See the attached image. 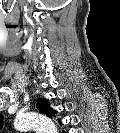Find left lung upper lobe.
<instances>
[{
	"label": "left lung upper lobe",
	"mask_w": 120,
	"mask_h": 133,
	"mask_svg": "<svg viewBox=\"0 0 120 133\" xmlns=\"http://www.w3.org/2000/svg\"><path fill=\"white\" fill-rule=\"evenodd\" d=\"M37 107L41 111V113L46 114L48 117L52 116L53 111L48 107L45 100L38 99ZM2 120H3V117L0 116V127L2 126Z\"/></svg>",
	"instance_id": "5c2ea615"
}]
</instances>
